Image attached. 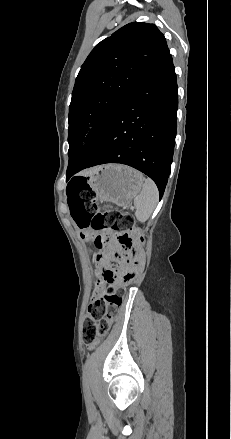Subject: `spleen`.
Instances as JSON below:
<instances>
[{"label":"spleen","instance_id":"obj_1","mask_svg":"<svg viewBox=\"0 0 231 439\" xmlns=\"http://www.w3.org/2000/svg\"><path fill=\"white\" fill-rule=\"evenodd\" d=\"M159 200V191L156 184L149 178L145 179L141 192L135 197V216L138 221L145 222L153 213Z\"/></svg>","mask_w":231,"mask_h":439}]
</instances>
